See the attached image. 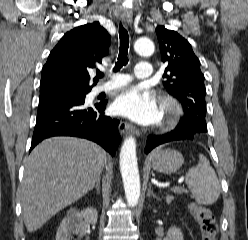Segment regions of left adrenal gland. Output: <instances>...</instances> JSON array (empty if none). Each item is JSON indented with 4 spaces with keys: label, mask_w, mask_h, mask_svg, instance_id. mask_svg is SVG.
Wrapping results in <instances>:
<instances>
[{
    "label": "left adrenal gland",
    "mask_w": 248,
    "mask_h": 240,
    "mask_svg": "<svg viewBox=\"0 0 248 240\" xmlns=\"http://www.w3.org/2000/svg\"><path fill=\"white\" fill-rule=\"evenodd\" d=\"M153 197L156 198L157 200H159V198L153 193V191L151 190V184L149 183L148 186V190H147V197Z\"/></svg>",
    "instance_id": "a2214340"
}]
</instances>
